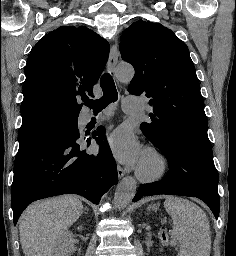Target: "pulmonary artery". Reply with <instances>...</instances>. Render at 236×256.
<instances>
[{
	"instance_id": "1",
	"label": "pulmonary artery",
	"mask_w": 236,
	"mask_h": 256,
	"mask_svg": "<svg viewBox=\"0 0 236 256\" xmlns=\"http://www.w3.org/2000/svg\"><path fill=\"white\" fill-rule=\"evenodd\" d=\"M140 96H125V101L123 102L124 105V114L125 115H132L134 109L140 108ZM98 122H101L98 120Z\"/></svg>"
}]
</instances>
